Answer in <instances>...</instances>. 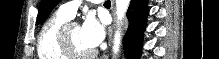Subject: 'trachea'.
I'll return each mask as SVG.
<instances>
[{"label":"trachea","instance_id":"1","mask_svg":"<svg viewBox=\"0 0 219 59\" xmlns=\"http://www.w3.org/2000/svg\"><path fill=\"white\" fill-rule=\"evenodd\" d=\"M111 3L110 0L105 1V4Z\"/></svg>","mask_w":219,"mask_h":59}]
</instances>
